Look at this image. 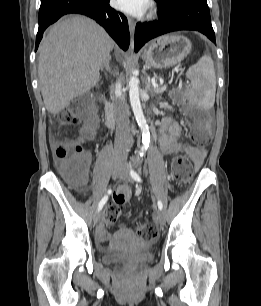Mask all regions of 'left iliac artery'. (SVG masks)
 I'll use <instances>...</instances> for the list:
<instances>
[{
	"mask_svg": "<svg viewBox=\"0 0 261 306\" xmlns=\"http://www.w3.org/2000/svg\"><path fill=\"white\" fill-rule=\"evenodd\" d=\"M130 175H131V177H132L135 181H137V182H142L141 177H140L139 174H138L137 172H135L134 170H131V171H130ZM157 205H158L159 210H162V209H163V204H162V202H161L160 200H158Z\"/></svg>",
	"mask_w": 261,
	"mask_h": 306,
	"instance_id": "44dca946",
	"label": "left iliac artery"
}]
</instances>
